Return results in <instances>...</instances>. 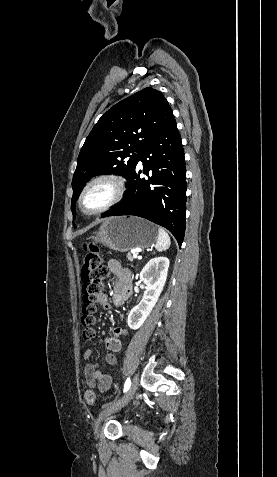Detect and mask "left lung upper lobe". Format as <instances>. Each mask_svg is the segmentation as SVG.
<instances>
[{"instance_id": "left-lung-upper-lobe-1", "label": "left lung upper lobe", "mask_w": 277, "mask_h": 477, "mask_svg": "<svg viewBox=\"0 0 277 477\" xmlns=\"http://www.w3.org/2000/svg\"><path fill=\"white\" fill-rule=\"evenodd\" d=\"M173 117L165 97L151 87L120 101L103 114L78 156L72 180L73 214L75 203L91 177L115 173L128 180L136 169L141 150Z\"/></svg>"}]
</instances>
